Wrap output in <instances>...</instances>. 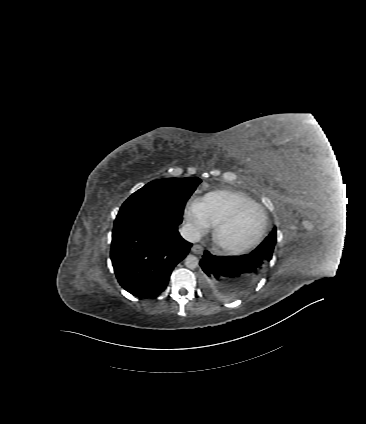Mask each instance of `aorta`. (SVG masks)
<instances>
[{"label":"aorta","mask_w":366,"mask_h":424,"mask_svg":"<svg viewBox=\"0 0 366 424\" xmlns=\"http://www.w3.org/2000/svg\"><path fill=\"white\" fill-rule=\"evenodd\" d=\"M198 264H199V259L194 255H188L185 258V266L188 269H195L198 267Z\"/></svg>","instance_id":"aorta-1"}]
</instances>
